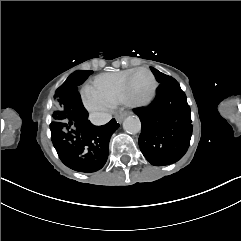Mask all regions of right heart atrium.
Returning a JSON list of instances; mask_svg holds the SVG:
<instances>
[{"label":"right heart atrium","instance_id":"obj_1","mask_svg":"<svg viewBox=\"0 0 241 241\" xmlns=\"http://www.w3.org/2000/svg\"><path fill=\"white\" fill-rule=\"evenodd\" d=\"M81 98L85 108L93 114H106L112 110L113 106L98 96H89L83 92Z\"/></svg>","mask_w":241,"mask_h":241}]
</instances>
